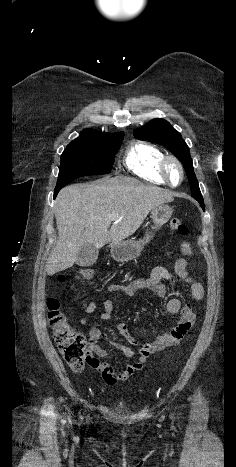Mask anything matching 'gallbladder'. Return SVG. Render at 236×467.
<instances>
[{
	"instance_id": "gallbladder-1",
	"label": "gallbladder",
	"mask_w": 236,
	"mask_h": 467,
	"mask_svg": "<svg viewBox=\"0 0 236 467\" xmlns=\"http://www.w3.org/2000/svg\"><path fill=\"white\" fill-rule=\"evenodd\" d=\"M99 251L98 249L90 244H84L79 250L76 257V264L82 267H88L93 265L98 258Z\"/></svg>"
}]
</instances>
